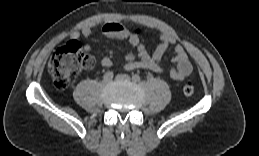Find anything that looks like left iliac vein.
I'll return each instance as SVG.
<instances>
[{
  "label": "left iliac vein",
  "mask_w": 259,
  "mask_h": 156,
  "mask_svg": "<svg viewBox=\"0 0 259 156\" xmlns=\"http://www.w3.org/2000/svg\"><path fill=\"white\" fill-rule=\"evenodd\" d=\"M116 79L117 80H125V81L131 80V78L126 74H119V75L116 76Z\"/></svg>",
  "instance_id": "4c4485c4"
}]
</instances>
